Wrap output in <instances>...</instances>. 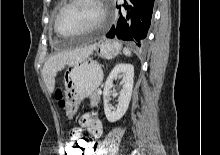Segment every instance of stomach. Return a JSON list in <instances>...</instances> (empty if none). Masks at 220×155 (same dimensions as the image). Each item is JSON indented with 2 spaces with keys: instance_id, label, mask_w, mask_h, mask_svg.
Segmentation results:
<instances>
[{
  "instance_id": "obj_1",
  "label": "stomach",
  "mask_w": 220,
  "mask_h": 155,
  "mask_svg": "<svg viewBox=\"0 0 220 155\" xmlns=\"http://www.w3.org/2000/svg\"><path fill=\"white\" fill-rule=\"evenodd\" d=\"M121 45L118 42L104 40L96 46L102 56L112 59L120 52ZM103 79V71L100 65L93 60H83L73 65L64 77L65 107L69 118L77 112L80 103L94 94Z\"/></svg>"
}]
</instances>
